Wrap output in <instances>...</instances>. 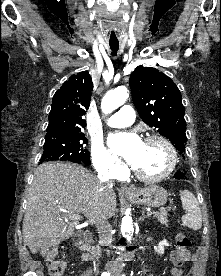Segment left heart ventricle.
Returning <instances> with one entry per match:
<instances>
[{"label": "left heart ventricle", "instance_id": "obj_1", "mask_svg": "<svg viewBox=\"0 0 221 276\" xmlns=\"http://www.w3.org/2000/svg\"><path fill=\"white\" fill-rule=\"evenodd\" d=\"M168 165L166 148L157 141L144 142L140 157L134 165L140 172L156 175L165 170Z\"/></svg>", "mask_w": 221, "mask_h": 276}]
</instances>
